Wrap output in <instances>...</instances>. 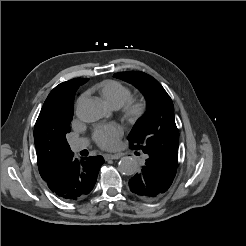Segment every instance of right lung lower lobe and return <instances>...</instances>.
I'll use <instances>...</instances> for the list:
<instances>
[{
  "label": "right lung lower lobe",
  "mask_w": 246,
  "mask_h": 246,
  "mask_svg": "<svg viewBox=\"0 0 246 246\" xmlns=\"http://www.w3.org/2000/svg\"><path fill=\"white\" fill-rule=\"evenodd\" d=\"M103 163L102 156L79 161L72 155L59 164L46 182L49 189L62 200L78 201L93 189Z\"/></svg>",
  "instance_id": "obj_1"
}]
</instances>
